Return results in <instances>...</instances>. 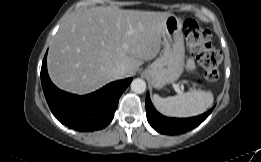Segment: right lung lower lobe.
Masks as SVG:
<instances>
[{
  "mask_svg": "<svg viewBox=\"0 0 261 162\" xmlns=\"http://www.w3.org/2000/svg\"><path fill=\"white\" fill-rule=\"evenodd\" d=\"M47 53L42 62L41 83L53 115L64 125L78 131L105 128L113 119L118 101L132 78L112 82L100 90L78 96L59 90L50 80L46 66Z\"/></svg>",
  "mask_w": 261,
  "mask_h": 162,
  "instance_id": "98d812e1",
  "label": "right lung lower lobe"
}]
</instances>
